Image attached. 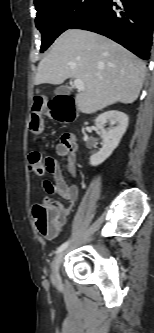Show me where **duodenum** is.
Masks as SVG:
<instances>
[{"label":"duodenum","instance_id":"410a0bca","mask_svg":"<svg viewBox=\"0 0 154 333\" xmlns=\"http://www.w3.org/2000/svg\"><path fill=\"white\" fill-rule=\"evenodd\" d=\"M56 113L63 119L71 121L75 117V107L71 97L60 96L55 106Z\"/></svg>","mask_w":154,"mask_h":333}]
</instances>
